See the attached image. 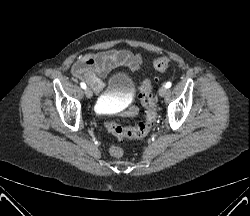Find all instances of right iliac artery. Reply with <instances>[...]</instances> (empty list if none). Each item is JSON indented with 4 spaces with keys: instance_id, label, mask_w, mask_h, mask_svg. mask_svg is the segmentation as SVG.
I'll return each instance as SVG.
<instances>
[{
    "instance_id": "1",
    "label": "right iliac artery",
    "mask_w": 250,
    "mask_h": 216,
    "mask_svg": "<svg viewBox=\"0 0 250 216\" xmlns=\"http://www.w3.org/2000/svg\"><path fill=\"white\" fill-rule=\"evenodd\" d=\"M80 86L83 88V89H86V84L84 82H81L80 83Z\"/></svg>"
}]
</instances>
